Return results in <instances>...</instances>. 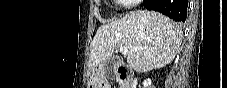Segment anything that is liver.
<instances>
[{
  "mask_svg": "<svg viewBox=\"0 0 227 88\" xmlns=\"http://www.w3.org/2000/svg\"><path fill=\"white\" fill-rule=\"evenodd\" d=\"M183 32L179 24L155 12L132 11L101 26L92 41L89 66H103L117 47H126L129 67L137 72L162 68L175 58Z\"/></svg>",
  "mask_w": 227,
  "mask_h": 88,
  "instance_id": "obj_1",
  "label": "liver"
}]
</instances>
